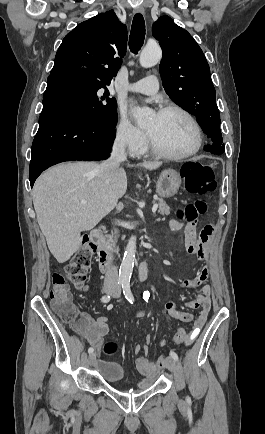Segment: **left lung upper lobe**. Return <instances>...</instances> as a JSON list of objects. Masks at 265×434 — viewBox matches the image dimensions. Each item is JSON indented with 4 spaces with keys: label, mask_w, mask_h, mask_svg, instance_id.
Segmentation results:
<instances>
[{
    "label": "left lung upper lobe",
    "mask_w": 265,
    "mask_h": 434,
    "mask_svg": "<svg viewBox=\"0 0 265 434\" xmlns=\"http://www.w3.org/2000/svg\"><path fill=\"white\" fill-rule=\"evenodd\" d=\"M152 33L163 52L159 70L166 93L196 116L213 147L223 149L216 93L203 51L169 16L160 17L153 24Z\"/></svg>",
    "instance_id": "left-lung-upper-lobe-1"
}]
</instances>
